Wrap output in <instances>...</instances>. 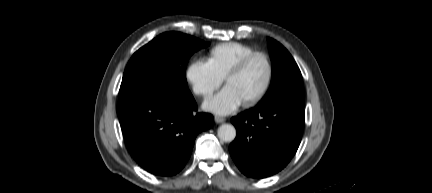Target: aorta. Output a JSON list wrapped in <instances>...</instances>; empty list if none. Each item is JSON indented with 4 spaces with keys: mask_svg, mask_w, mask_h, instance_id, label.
<instances>
[{
    "mask_svg": "<svg viewBox=\"0 0 432 193\" xmlns=\"http://www.w3.org/2000/svg\"><path fill=\"white\" fill-rule=\"evenodd\" d=\"M217 135L223 142H232L236 137V129L231 124H222L217 130Z\"/></svg>",
    "mask_w": 432,
    "mask_h": 193,
    "instance_id": "aorta-1",
    "label": "aorta"
}]
</instances>
